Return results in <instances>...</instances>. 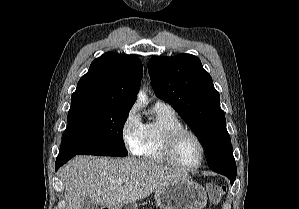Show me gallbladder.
<instances>
[{
  "label": "gallbladder",
  "mask_w": 299,
  "mask_h": 209,
  "mask_svg": "<svg viewBox=\"0 0 299 209\" xmlns=\"http://www.w3.org/2000/svg\"><path fill=\"white\" fill-rule=\"evenodd\" d=\"M82 209H99V207L92 200L86 199L83 202Z\"/></svg>",
  "instance_id": "bac80fb5"
}]
</instances>
